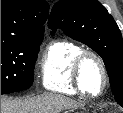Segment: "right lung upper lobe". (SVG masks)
<instances>
[{
    "label": "right lung upper lobe",
    "mask_w": 123,
    "mask_h": 113,
    "mask_svg": "<svg viewBox=\"0 0 123 113\" xmlns=\"http://www.w3.org/2000/svg\"><path fill=\"white\" fill-rule=\"evenodd\" d=\"M48 10L45 0H1V42L43 37Z\"/></svg>",
    "instance_id": "right-lung-upper-lobe-1"
}]
</instances>
